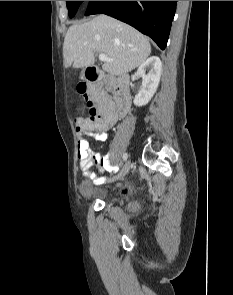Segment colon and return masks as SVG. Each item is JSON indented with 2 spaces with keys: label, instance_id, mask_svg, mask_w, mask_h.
Segmentation results:
<instances>
[{
  "label": "colon",
  "instance_id": "1",
  "mask_svg": "<svg viewBox=\"0 0 233 295\" xmlns=\"http://www.w3.org/2000/svg\"><path fill=\"white\" fill-rule=\"evenodd\" d=\"M106 86L118 87V82L113 79H98L88 80L87 82H81L78 84L77 91L84 99L89 112V118L84 119L78 117L75 119L78 131L93 127L103 118V115L98 111L96 104L100 95L105 92Z\"/></svg>",
  "mask_w": 233,
  "mask_h": 295
}]
</instances>
